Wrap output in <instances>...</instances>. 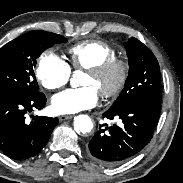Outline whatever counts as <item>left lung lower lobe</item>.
I'll list each match as a JSON object with an SVG mask.
<instances>
[{
  "instance_id": "left-lung-lower-lobe-1",
  "label": "left lung lower lobe",
  "mask_w": 183,
  "mask_h": 183,
  "mask_svg": "<svg viewBox=\"0 0 183 183\" xmlns=\"http://www.w3.org/2000/svg\"><path fill=\"white\" fill-rule=\"evenodd\" d=\"M160 110L161 103L150 101H136L108 109L103 117H117L122 124L96 132L89 142L91 157L103 166H114L135 156L152 139Z\"/></svg>"
}]
</instances>
